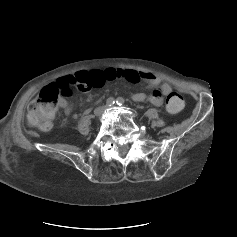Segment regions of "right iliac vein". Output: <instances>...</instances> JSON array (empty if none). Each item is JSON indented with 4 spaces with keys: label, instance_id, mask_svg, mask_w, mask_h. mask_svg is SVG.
I'll return each instance as SVG.
<instances>
[{
    "label": "right iliac vein",
    "instance_id": "1",
    "mask_svg": "<svg viewBox=\"0 0 237 237\" xmlns=\"http://www.w3.org/2000/svg\"><path fill=\"white\" fill-rule=\"evenodd\" d=\"M104 110H105V107H104V106L98 107V108L95 110V115H96L97 117L101 116V115L104 113Z\"/></svg>",
    "mask_w": 237,
    "mask_h": 237
}]
</instances>
